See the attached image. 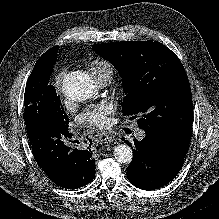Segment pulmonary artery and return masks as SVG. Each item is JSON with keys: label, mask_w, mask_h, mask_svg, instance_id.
<instances>
[{"label": "pulmonary artery", "mask_w": 219, "mask_h": 219, "mask_svg": "<svg viewBox=\"0 0 219 219\" xmlns=\"http://www.w3.org/2000/svg\"><path fill=\"white\" fill-rule=\"evenodd\" d=\"M96 82L98 83V85L100 86H106L110 80H111V75L110 74H103L97 78H95ZM144 133L142 131H139L137 133V137L139 139H141L143 137Z\"/></svg>", "instance_id": "obj_1"}]
</instances>
